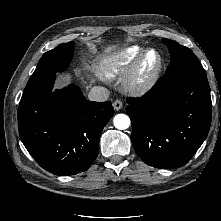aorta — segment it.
I'll return each instance as SVG.
<instances>
[{"mask_svg":"<svg viewBox=\"0 0 221 221\" xmlns=\"http://www.w3.org/2000/svg\"><path fill=\"white\" fill-rule=\"evenodd\" d=\"M114 126L119 130H125L129 128L131 121L125 114H117L113 119Z\"/></svg>","mask_w":221,"mask_h":221,"instance_id":"aorta-1","label":"aorta"}]
</instances>
